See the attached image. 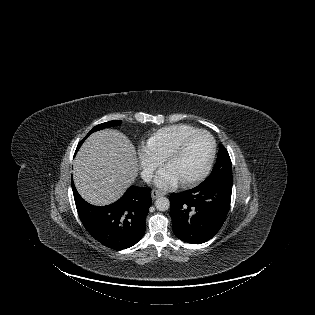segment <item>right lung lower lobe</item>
I'll return each mask as SVG.
<instances>
[{
	"instance_id": "obj_1",
	"label": "right lung lower lobe",
	"mask_w": 315,
	"mask_h": 315,
	"mask_svg": "<svg viewBox=\"0 0 315 315\" xmlns=\"http://www.w3.org/2000/svg\"><path fill=\"white\" fill-rule=\"evenodd\" d=\"M72 190L83 225L104 246L122 250L143 237L146 215L152 204L150 188L131 186L118 201L103 207L84 201L73 181Z\"/></svg>"
}]
</instances>
